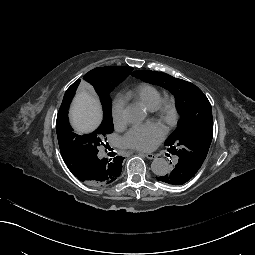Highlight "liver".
Here are the masks:
<instances>
[{"label":"liver","instance_id":"1","mask_svg":"<svg viewBox=\"0 0 255 255\" xmlns=\"http://www.w3.org/2000/svg\"><path fill=\"white\" fill-rule=\"evenodd\" d=\"M70 119L71 125L79 133L91 132L101 123V105L91 86H79L70 109Z\"/></svg>","mask_w":255,"mask_h":255}]
</instances>
